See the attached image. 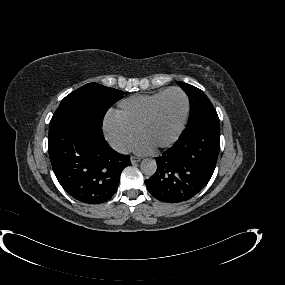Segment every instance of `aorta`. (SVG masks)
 I'll use <instances>...</instances> for the list:
<instances>
[{
  "mask_svg": "<svg viewBox=\"0 0 285 285\" xmlns=\"http://www.w3.org/2000/svg\"><path fill=\"white\" fill-rule=\"evenodd\" d=\"M140 169L143 174L147 176H152L155 174L157 170V164L156 161L152 158H145L142 160L140 164Z\"/></svg>",
  "mask_w": 285,
  "mask_h": 285,
  "instance_id": "obj_1",
  "label": "aorta"
}]
</instances>
